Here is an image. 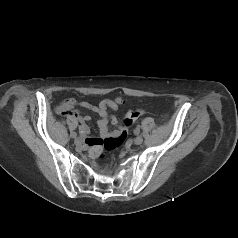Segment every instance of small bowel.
<instances>
[{
    "instance_id": "obj_1",
    "label": "small bowel",
    "mask_w": 238,
    "mask_h": 238,
    "mask_svg": "<svg viewBox=\"0 0 238 238\" xmlns=\"http://www.w3.org/2000/svg\"><path fill=\"white\" fill-rule=\"evenodd\" d=\"M119 102H120L119 99L117 100L105 99L102 100L98 105H93L87 101H78L74 98H69L64 100L58 106L57 112L60 115L72 117L78 120L80 122L79 130L83 136H87L89 134V127L87 126L86 122L90 120V116L82 115L76 109V107L88 109L92 112L97 113L100 116L97 124L102 138L88 137L85 140L86 145L92 148L99 140L109 137H117L121 134L120 130L122 129V126H119L118 129L114 131L109 130V122H111V124L114 126H118V122L115 117L113 116L109 117L108 115V108L112 110H117Z\"/></svg>"
}]
</instances>
